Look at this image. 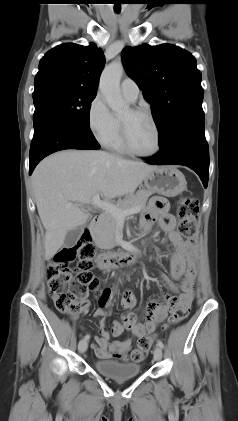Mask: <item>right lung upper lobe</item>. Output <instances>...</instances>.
Wrapping results in <instances>:
<instances>
[{
    "instance_id": "right-lung-upper-lobe-1",
    "label": "right lung upper lobe",
    "mask_w": 238,
    "mask_h": 421,
    "mask_svg": "<svg viewBox=\"0 0 238 421\" xmlns=\"http://www.w3.org/2000/svg\"><path fill=\"white\" fill-rule=\"evenodd\" d=\"M105 58L95 44L84 47L64 43L48 51L40 60L34 86L56 84L97 92Z\"/></svg>"
}]
</instances>
